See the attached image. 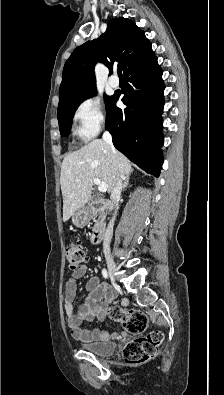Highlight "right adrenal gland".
Listing matches in <instances>:
<instances>
[{
	"label": "right adrenal gland",
	"instance_id": "obj_1",
	"mask_svg": "<svg viewBox=\"0 0 224 395\" xmlns=\"http://www.w3.org/2000/svg\"><path fill=\"white\" fill-rule=\"evenodd\" d=\"M129 180H130V176L127 175L124 179L123 188H122L123 191L125 190V188H127L128 184H129Z\"/></svg>",
	"mask_w": 224,
	"mask_h": 395
}]
</instances>
